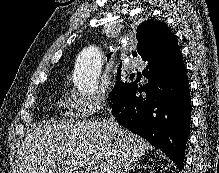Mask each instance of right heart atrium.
Here are the masks:
<instances>
[{
	"mask_svg": "<svg viewBox=\"0 0 219 173\" xmlns=\"http://www.w3.org/2000/svg\"><path fill=\"white\" fill-rule=\"evenodd\" d=\"M106 101L107 93L104 89L95 94H85L71 89L68 98L69 112L80 119H87L102 110Z\"/></svg>",
	"mask_w": 219,
	"mask_h": 173,
	"instance_id": "d8ad5b80",
	"label": "right heart atrium"
}]
</instances>
